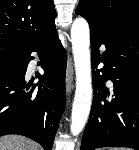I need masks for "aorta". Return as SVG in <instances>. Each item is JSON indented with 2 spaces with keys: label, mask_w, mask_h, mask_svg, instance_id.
Here are the masks:
<instances>
[{
  "label": "aorta",
  "mask_w": 139,
  "mask_h": 150,
  "mask_svg": "<svg viewBox=\"0 0 139 150\" xmlns=\"http://www.w3.org/2000/svg\"><path fill=\"white\" fill-rule=\"evenodd\" d=\"M71 42L76 71V91L71 115V133L76 136L84 128L92 103L90 30L88 22L76 18L71 27Z\"/></svg>",
  "instance_id": "762f6f07"
}]
</instances>
